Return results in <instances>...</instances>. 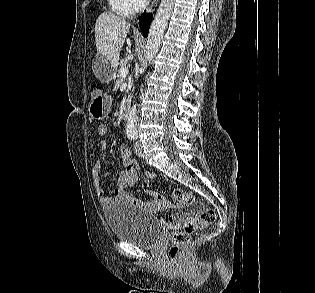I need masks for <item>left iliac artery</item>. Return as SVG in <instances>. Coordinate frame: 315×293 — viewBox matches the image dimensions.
<instances>
[{
  "label": "left iliac artery",
  "mask_w": 315,
  "mask_h": 293,
  "mask_svg": "<svg viewBox=\"0 0 315 293\" xmlns=\"http://www.w3.org/2000/svg\"><path fill=\"white\" fill-rule=\"evenodd\" d=\"M130 138H131L132 140L137 139V134H136L135 132L131 133Z\"/></svg>",
  "instance_id": "left-iliac-artery-1"
}]
</instances>
